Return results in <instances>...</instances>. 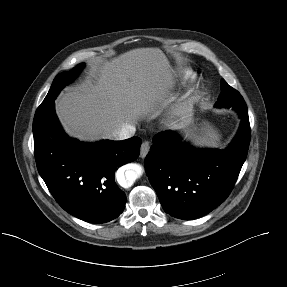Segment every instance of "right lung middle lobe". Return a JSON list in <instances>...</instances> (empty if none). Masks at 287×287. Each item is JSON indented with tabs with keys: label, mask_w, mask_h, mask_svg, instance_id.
Wrapping results in <instances>:
<instances>
[{
	"label": "right lung middle lobe",
	"mask_w": 287,
	"mask_h": 287,
	"mask_svg": "<svg viewBox=\"0 0 287 287\" xmlns=\"http://www.w3.org/2000/svg\"><path fill=\"white\" fill-rule=\"evenodd\" d=\"M83 67L84 64L81 63L68 72H62L58 74L55 77L52 86L42 103L55 99L60 90L64 87V85L72 81L75 78V76L78 75V73L83 69Z\"/></svg>",
	"instance_id": "obj_1"
}]
</instances>
